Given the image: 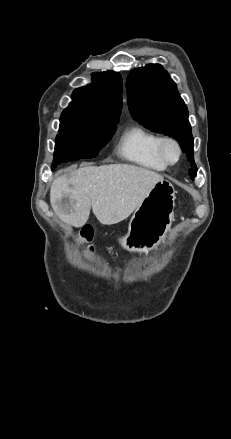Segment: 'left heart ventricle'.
<instances>
[{
	"label": "left heart ventricle",
	"mask_w": 231,
	"mask_h": 439,
	"mask_svg": "<svg viewBox=\"0 0 231 439\" xmlns=\"http://www.w3.org/2000/svg\"><path fill=\"white\" fill-rule=\"evenodd\" d=\"M166 152H167L168 157L171 160H175L176 159L177 152H176V149L173 146H171V145L167 146Z\"/></svg>",
	"instance_id": "obj_1"
}]
</instances>
